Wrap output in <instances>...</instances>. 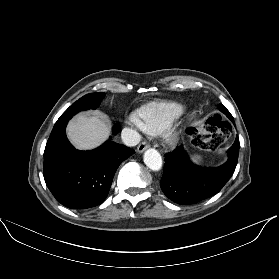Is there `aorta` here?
Segmentation results:
<instances>
[{
    "label": "aorta",
    "mask_w": 279,
    "mask_h": 279,
    "mask_svg": "<svg viewBox=\"0 0 279 279\" xmlns=\"http://www.w3.org/2000/svg\"><path fill=\"white\" fill-rule=\"evenodd\" d=\"M143 159L146 166L153 171H158L162 167V157L156 149H147L144 153Z\"/></svg>",
    "instance_id": "1"
}]
</instances>
